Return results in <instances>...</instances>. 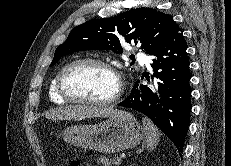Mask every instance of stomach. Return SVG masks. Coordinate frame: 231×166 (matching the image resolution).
Here are the masks:
<instances>
[{"label":"stomach","instance_id":"stomach-1","mask_svg":"<svg viewBox=\"0 0 231 166\" xmlns=\"http://www.w3.org/2000/svg\"><path fill=\"white\" fill-rule=\"evenodd\" d=\"M66 143L101 153H115L136 147L144 136L143 127L129 113L95 125H74L62 133Z\"/></svg>","mask_w":231,"mask_h":166}]
</instances>
